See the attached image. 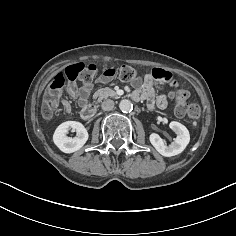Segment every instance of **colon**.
<instances>
[{
    "label": "colon",
    "instance_id": "1",
    "mask_svg": "<svg viewBox=\"0 0 236 236\" xmlns=\"http://www.w3.org/2000/svg\"><path fill=\"white\" fill-rule=\"evenodd\" d=\"M96 72L97 68L93 64H74L56 74L49 84L44 104L42 106V115L44 119L50 120L55 115L59 103L58 93L60 90H62L67 84L70 85V87H75L74 84L77 81L89 83ZM116 74H118L120 79L124 81H134L138 78L137 70L129 65H123L118 71L114 68H109L102 71L99 75L108 79ZM171 83L172 78L168 74L163 84ZM171 96L176 101V115L179 117L188 116L191 120L192 126L196 127L201 111L198 105L187 102L189 97L188 91L176 86L172 90Z\"/></svg>",
    "mask_w": 236,
    "mask_h": 236
}]
</instances>
